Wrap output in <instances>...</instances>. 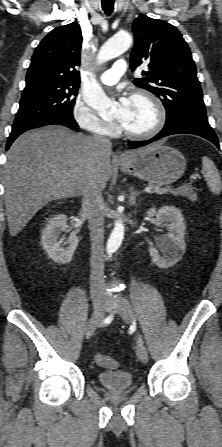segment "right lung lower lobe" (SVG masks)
Instances as JSON below:
<instances>
[{
    "instance_id": "right-lung-lower-lobe-1",
    "label": "right lung lower lobe",
    "mask_w": 222,
    "mask_h": 447,
    "mask_svg": "<svg viewBox=\"0 0 222 447\" xmlns=\"http://www.w3.org/2000/svg\"><path fill=\"white\" fill-rule=\"evenodd\" d=\"M52 124L63 125L68 128H71V129L78 128V125H77L76 121L74 120L73 116L57 115V116L49 117V118L43 119L36 123H31L28 125L21 126L19 128L12 129V132L8 138V141H7L6 150L9 149L12 142L23 132L33 129V128H38V127L52 125Z\"/></svg>"
}]
</instances>
